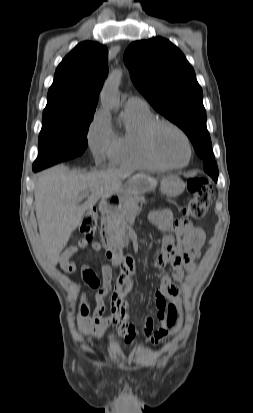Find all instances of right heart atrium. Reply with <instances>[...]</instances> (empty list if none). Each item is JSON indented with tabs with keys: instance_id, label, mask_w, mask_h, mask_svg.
Instances as JSON below:
<instances>
[{
	"instance_id": "right-heart-atrium-1",
	"label": "right heart atrium",
	"mask_w": 253,
	"mask_h": 413,
	"mask_svg": "<svg viewBox=\"0 0 253 413\" xmlns=\"http://www.w3.org/2000/svg\"><path fill=\"white\" fill-rule=\"evenodd\" d=\"M114 140L107 115L103 111L98 112L88 131V144L97 164L109 158Z\"/></svg>"
}]
</instances>
